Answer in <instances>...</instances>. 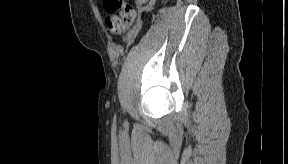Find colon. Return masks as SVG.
<instances>
[{
    "mask_svg": "<svg viewBox=\"0 0 288 164\" xmlns=\"http://www.w3.org/2000/svg\"><path fill=\"white\" fill-rule=\"evenodd\" d=\"M106 5L113 13L105 19L107 30L113 35L123 34L134 22L135 8L123 0H107Z\"/></svg>",
    "mask_w": 288,
    "mask_h": 164,
    "instance_id": "colon-1",
    "label": "colon"
}]
</instances>
